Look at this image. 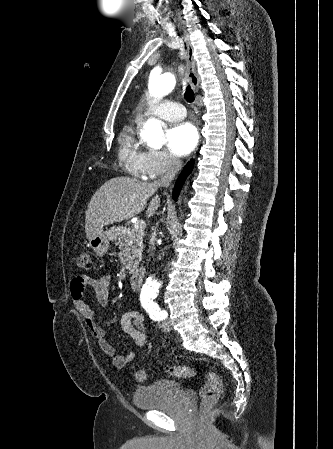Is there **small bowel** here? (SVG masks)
<instances>
[{"mask_svg": "<svg viewBox=\"0 0 333 449\" xmlns=\"http://www.w3.org/2000/svg\"><path fill=\"white\" fill-rule=\"evenodd\" d=\"M109 275L91 277L86 274L76 276L70 285V294L76 310L80 313L85 326L96 339L101 351L113 361L117 368H123L134 358V352L123 355L116 354L115 348L107 341L105 331L99 325L96 315L85 297V290L91 288L99 304L105 305L109 300ZM121 327L138 347H144L147 343V327L144 317L136 312H127L121 319Z\"/></svg>", "mask_w": 333, "mask_h": 449, "instance_id": "small-bowel-1", "label": "small bowel"}]
</instances>
